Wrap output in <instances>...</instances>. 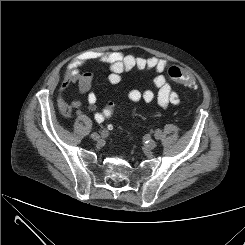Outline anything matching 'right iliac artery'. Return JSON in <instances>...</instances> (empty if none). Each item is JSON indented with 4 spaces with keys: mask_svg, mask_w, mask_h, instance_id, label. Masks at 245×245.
I'll use <instances>...</instances> for the list:
<instances>
[{
    "mask_svg": "<svg viewBox=\"0 0 245 245\" xmlns=\"http://www.w3.org/2000/svg\"><path fill=\"white\" fill-rule=\"evenodd\" d=\"M107 135V131L102 132V137H105Z\"/></svg>",
    "mask_w": 245,
    "mask_h": 245,
    "instance_id": "1",
    "label": "right iliac artery"
}]
</instances>
